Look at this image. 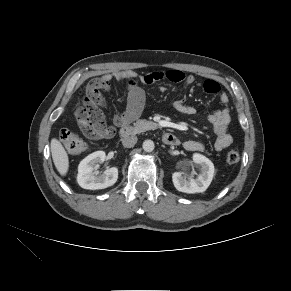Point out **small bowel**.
<instances>
[{
	"mask_svg": "<svg viewBox=\"0 0 291 291\" xmlns=\"http://www.w3.org/2000/svg\"><path fill=\"white\" fill-rule=\"evenodd\" d=\"M168 80L174 83H182L184 86L191 85L194 82L192 75H186L179 70H169L166 72L153 71L145 74H138L132 70L116 71L109 74H104L100 77L94 78L88 84V89L98 87L101 90H107L113 80H124L127 84V103L124 111L118 113L114 117V123L117 126L129 124L137 119L144 108L145 91L140 84L150 85L161 80ZM203 89L210 94H219L221 102L225 107L221 110L215 111L207 116L208 122L211 124L216 135L214 148L221 151L232 143V137L228 132L230 124V111L228 108V96L225 92L220 90V85L214 80H206L203 84ZM173 108L185 115H195L197 109L194 106L185 103V96L182 94L179 98L174 100ZM102 115V113H101ZM93 139H102L110 137L113 134V128L107 126L102 116L101 121L97 123L93 130L86 133ZM183 147L188 151H201L204 145L195 140H187L183 143Z\"/></svg>",
	"mask_w": 291,
	"mask_h": 291,
	"instance_id": "1",
	"label": "small bowel"
}]
</instances>
